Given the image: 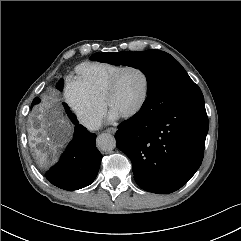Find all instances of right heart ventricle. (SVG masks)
<instances>
[{"label":"right heart ventricle","instance_id":"e07e8e85","mask_svg":"<svg viewBox=\"0 0 241 241\" xmlns=\"http://www.w3.org/2000/svg\"><path fill=\"white\" fill-rule=\"evenodd\" d=\"M123 65L114 63L88 62L76 69V80L98 101H104V94L111 77Z\"/></svg>","mask_w":241,"mask_h":241}]
</instances>
